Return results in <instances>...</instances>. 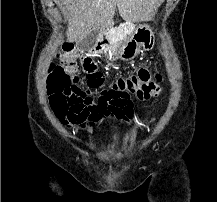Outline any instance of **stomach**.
<instances>
[{"label":"stomach","mask_w":217,"mask_h":202,"mask_svg":"<svg viewBox=\"0 0 217 202\" xmlns=\"http://www.w3.org/2000/svg\"><path fill=\"white\" fill-rule=\"evenodd\" d=\"M154 44L155 36L152 28L148 24H140V26H136L133 34L121 40L118 58L120 60H133L140 50L149 52Z\"/></svg>","instance_id":"obj_1"}]
</instances>
